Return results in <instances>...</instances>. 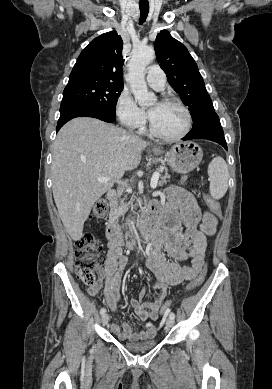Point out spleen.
I'll return each mask as SVG.
<instances>
[{"mask_svg":"<svg viewBox=\"0 0 272 389\" xmlns=\"http://www.w3.org/2000/svg\"><path fill=\"white\" fill-rule=\"evenodd\" d=\"M210 194L214 199H221L228 190V166L222 157H215L208 166Z\"/></svg>","mask_w":272,"mask_h":389,"instance_id":"spleen-1","label":"spleen"}]
</instances>
